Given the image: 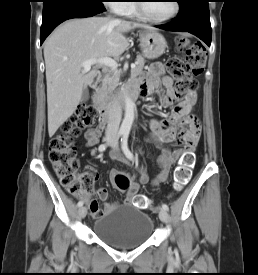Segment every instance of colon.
<instances>
[{
    "instance_id": "5ec220e1",
    "label": "colon",
    "mask_w": 258,
    "mask_h": 275,
    "mask_svg": "<svg viewBox=\"0 0 258 275\" xmlns=\"http://www.w3.org/2000/svg\"><path fill=\"white\" fill-rule=\"evenodd\" d=\"M177 47L184 51V57H171L167 60V70L176 78V90L180 95H189L198 88L196 77L201 75L206 61L205 51L188 38L179 37ZM96 111L92 106H81L65 122L60 132L50 141L49 160L54 168L61 185L79 198L90 196L93 193L95 176L92 173H78L79 163L76 158V147L73 142L81 131L92 125ZM194 163L193 154L186 152L174 172L173 187L181 190L191 177ZM115 185L121 191H127L129 178L124 174H117ZM135 206L146 209L151 202L147 196H135Z\"/></svg>"
}]
</instances>
